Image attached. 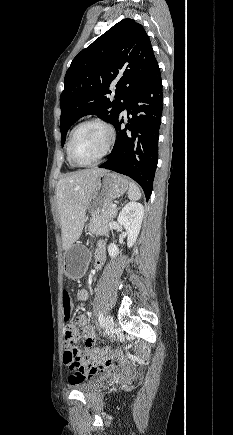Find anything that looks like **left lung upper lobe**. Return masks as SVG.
<instances>
[{
	"label": "left lung upper lobe",
	"mask_w": 233,
	"mask_h": 435,
	"mask_svg": "<svg viewBox=\"0 0 233 435\" xmlns=\"http://www.w3.org/2000/svg\"><path fill=\"white\" fill-rule=\"evenodd\" d=\"M157 65L143 26L123 19L73 59L60 96L61 145L81 117L95 114L114 124L126 104ZM110 86L115 98L110 99Z\"/></svg>",
	"instance_id": "1"
}]
</instances>
